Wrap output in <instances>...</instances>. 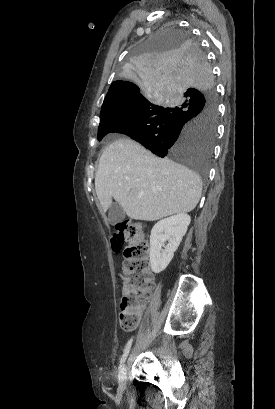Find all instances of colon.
I'll return each mask as SVG.
<instances>
[{
    "label": "colon",
    "instance_id": "5ec220e1",
    "mask_svg": "<svg viewBox=\"0 0 275 409\" xmlns=\"http://www.w3.org/2000/svg\"><path fill=\"white\" fill-rule=\"evenodd\" d=\"M111 246L125 250L118 324L121 330H136L144 301L153 287L149 267L150 242L141 223L127 220L115 225Z\"/></svg>",
    "mask_w": 275,
    "mask_h": 409
}]
</instances>
